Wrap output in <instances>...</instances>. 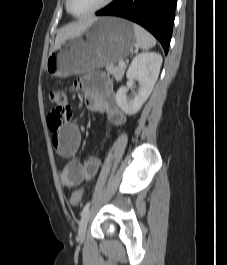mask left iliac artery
<instances>
[{
	"label": "left iliac artery",
	"instance_id": "44dca946",
	"mask_svg": "<svg viewBox=\"0 0 227 265\" xmlns=\"http://www.w3.org/2000/svg\"><path fill=\"white\" fill-rule=\"evenodd\" d=\"M90 204H91V202L89 201V202H87L86 204H85V206H84V208H83V211H82V214L85 212V211H87L88 209H89V207H90Z\"/></svg>",
	"mask_w": 227,
	"mask_h": 265
}]
</instances>
